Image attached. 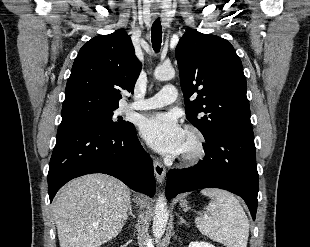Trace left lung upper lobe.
Returning <instances> with one entry per match:
<instances>
[{
	"label": "left lung upper lobe",
	"mask_w": 310,
	"mask_h": 247,
	"mask_svg": "<svg viewBox=\"0 0 310 247\" xmlns=\"http://www.w3.org/2000/svg\"><path fill=\"white\" fill-rule=\"evenodd\" d=\"M176 59L186 117L206 142L229 130L251 128L243 66L226 39L190 29L179 40ZM191 96L196 98L190 101Z\"/></svg>",
	"instance_id": "1"
}]
</instances>
